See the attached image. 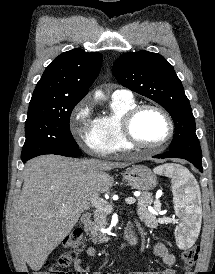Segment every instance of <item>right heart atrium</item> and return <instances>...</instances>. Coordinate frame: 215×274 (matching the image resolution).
I'll use <instances>...</instances> for the list:
<instances>
[{
    "label": "right heart atrium",
    "instance_id": "d8ad5b80",
    "mask_svg": "<svg viewBox=\"0 0 215 274\" xmlns=\"http://www.w3.org/2000/svg\"><path fill=\"white\" fill-rule=\"evenodd\" d=\"M70 130L79 145L90 154L105 156L108 146L98 131L96 119L93 117L92 105L84 99L73 109Z\"/></svg>",
    "mask_w": 215,
    "mask_h": 274
}]
</instances>
